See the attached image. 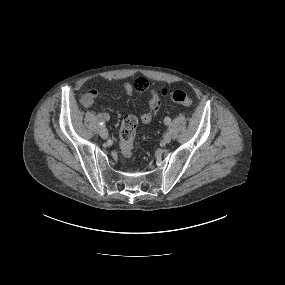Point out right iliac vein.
Returning a JSON list of instances; mask_svg holds the SVG:
<instances>
[{
	"label": "right iliac vein",
	"mask_w": 285,
	"mask_h": 285,
	"mask_svg": "<svg viewBox=\"0 0 285 285\" xmlns=\"http://www.w3.org/2000/svg\"><path fill=\"white\" fill-rule=\"evenodd\" d=\"M99 135L103 138L106 139L108 137V131L106 128H101L99 131Z\"/></svg>",
	"instance_id": "right-iliac-vein-1"
}]
</instances>
